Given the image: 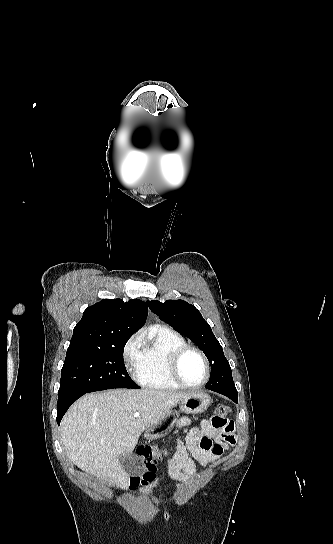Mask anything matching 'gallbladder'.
I'll use <instances>...</instances> for the list:
<instances>
[{
  "label": "gallbladder",
  "mask_w": 333,
  "mask_h": 544,
  "mask_svg": "<svg viewBox=\"0 0 333 544\" xmlns=\"http://www.w3.org/2000/svg\"><path fill=\"white\" fill-rule=\"evenodd\" d=\"M118 460L130 476H140L144 473L143 463L138 456L132 453L120 454Z\"/></svg>",
  "instance_id": "bac80fb5"
}]
</instances>
